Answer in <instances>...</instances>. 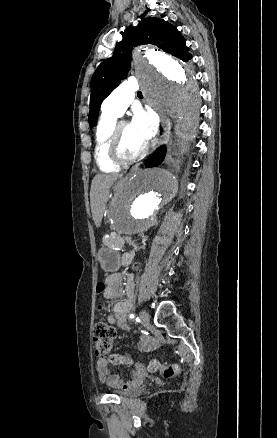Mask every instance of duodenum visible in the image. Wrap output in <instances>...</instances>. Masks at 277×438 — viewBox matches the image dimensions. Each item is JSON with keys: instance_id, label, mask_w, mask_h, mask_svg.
I'll list each match as a JSON object with an SVG mask.
<instances>
[{"instance_id": "410a0bca", "label": "duodenum", "mask_w": 277, "mask_h": 438, "mask_svg": "<svg viewBox=\"0 0 277 438\" xmlns=\"http://www.w3.org/2000/svg\"><path fill=\"white\" fill-rule=\"evenodd\" d=\"M133 255L131 253H124L120 258V263L122 265H128L131 263Z\"/></svg>"}]
</instances>
